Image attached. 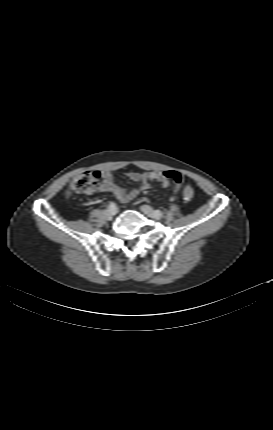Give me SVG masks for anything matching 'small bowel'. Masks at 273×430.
Segmentation results:
<instances>
[{"label":"small bowel","instance_id":"obj_1","mask_svg":"<svg viewBox=\"0 0 273 430\" xmlns=\"http://www.w3.org/2000/svg\"><path fill=\"white\" fill-rule=\"evenodd\" d=\"M127 176L131 180L139 183V186L130 191H126L124 188L114 183L113 175L111 172L102 171V182L97 189L99 192L110 193L118 201L126 203L133 200L136 196H138L141 191L148 189L153 182H157L163 188H167L173 181L175 182V193H177L181 188L180 175L175 171L171 170L164 172L150 171L142 173L131 171L127 173ZM170 198L171 200H173L175 198V195H172Z\"/></svg>","mask_w":273,"mask_h":430}]
</instances>
